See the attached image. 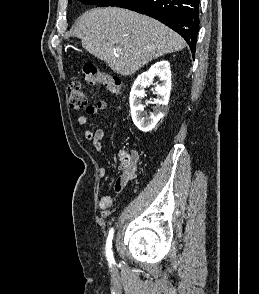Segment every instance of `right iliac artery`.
Wrapping results in <instances>:
<instances>
[{"instance_id": "obj_1", "label": "right iliac artery", "mask_w": 259, "mask_h": 294, "mask_svg": "<svg viewBox=\"0 0 259 294\" xmlns=\"http://www.w3.org/2000/svg\"><path fill=\"white\" fill-rule=\"evenodd\" d=\"M113 235H114V230L113 228L109 231L107 240H106V247H105V251H106V257L109 263H113L114 262V257H113V252H112V239H113Z\"/></svg>"}]
</instances>
